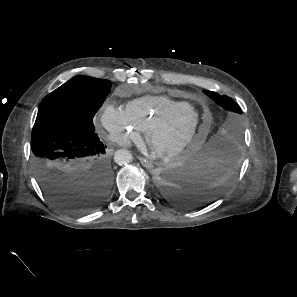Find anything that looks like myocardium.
Segmentation results:
<instances>
[{"instance_id":"obj_1","label":"myocardium","mask_w":297,"mask_h":297,"mask_svg":"<svg viewBox=\"0 0 297 297\" xmlns=\"http://www.w3.org/2000/svg\"><path fill=\"white\" fill-rule=\"evenodd\" d=\"M185 112H194L197 114V123L195 127L193 128L192 132L189 134V136L181 142L179 145L168 149V150H160L156 149L153 145V136L160 131L168 122L178 118ZM202 123V117L197 109H195L191 105H187L183 108L176 109L173 111L165 112L162 115H160L155 121H153L148 128L145 131V140L146 143L151 151V153L158 159L162 161H169L176 156L182 154L197 138L200 127Z\"/></svg>"}]
</instances>
